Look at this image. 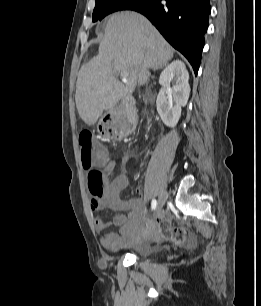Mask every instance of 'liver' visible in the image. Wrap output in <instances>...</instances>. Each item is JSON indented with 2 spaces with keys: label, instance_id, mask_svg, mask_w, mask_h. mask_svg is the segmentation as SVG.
<instances>
[{
  "label": "liver",
  "instance_id": "obj_1",
  "mask_svg": "<svg viewBox=\"0 0 261 306\" xmlns=\"http://www.w3.org/2000/svg\"><path fill=\"white\" fill-rule=\"evenodd\" d=\"M174 49L141 14L122 11L112 14L99 45V53L78 73L75 101L80 118L94 125L103 111L148 82L153 67H163ZM128 72L125 84L116 74Z\"/></svg>",
  "mask_w": 261,
  "mask_h": 306
}]
</instances>
